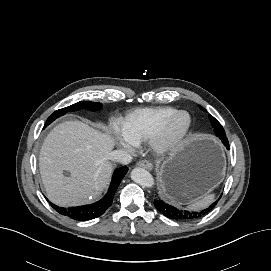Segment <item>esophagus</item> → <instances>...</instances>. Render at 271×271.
<instances>
[{
	"label": "esophagus",
	"instance_id": "obj_1",
	"mask_svg": "<svg viewBox=\"0 0 271 271\" xmlns=\"http://www.w3.org/2000/svg\"><path fill=\"white\" fill-rule=\"evenodd\" d=\"M138 167L145 168L147 170H152L153 169V164L147 160H141L137 162Z\"/></svg>",
	"mask_w": 271,
	"mask_h": 271
}]
</instances>
